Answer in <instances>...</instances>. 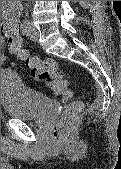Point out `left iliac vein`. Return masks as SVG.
Returning a JSON list of instances; mask_svg holds the SVG:
<instances>
[{
	"label": "left iliac vein",
	"mask_w": 121,
	"mask_h": 169,
	"mask_svg": "<svg viewBox=\"0 0 121 169\" xmlns=\"http://www.w3.org/2000/svg\"><path fill=\"white\" fill-rule=\"evenodd\" d=\"M27 36L32 41H37L39 39V31L38 29L33 25L32 22L29 24L28 31L26 32Z\"/></svg>",
	"instance_id": "4c4485c4"
}]
</instances>
